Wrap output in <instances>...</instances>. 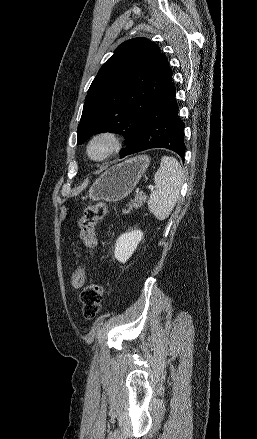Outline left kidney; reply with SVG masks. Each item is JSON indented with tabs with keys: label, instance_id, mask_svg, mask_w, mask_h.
<instances>
[{
	"label": "left kidney",
	"instance_id": "1",
	"mask_svg": "<svg viewBox=\"0 0 257 439\" xmlns=\"http://www.w3.org/2000/svg\"><path fill=\"white\" fill-rule=\"evenodd\" d=\"M143 239L141 230H134L122 234L115 243L114 257L121 263H126Z\"/></svg>",
	"mask_w": 257,
	"mask_h": 439
}]
</instances>
